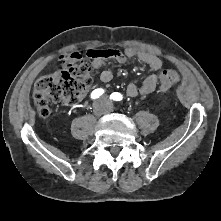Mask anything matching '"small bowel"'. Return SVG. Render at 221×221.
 I'll return each instance as SVG.
<instances>
[{"mask_svg": "<svg viewBox=\"0 0 221 221\" xmlns=\"http://www.w3.org/2000/svg\"><path fill=\"white\" fill-rule=\"evenodd\" d=\"M96 51H100L102 54H92L90 58L92 59L93 68L97 70L103 69L100 73V80L102 82H110L113 78L112 72L107 69L110 60L119 64H124L128 59L137 58L145 65L151 74L144 79L141 86H137L134 82H130L126 88L128 97L134 98L138 95H148L155 91L159 81L158 71L162 66L157 56L134 48H127L123 52L117 49L90 50L89 52L94 53Z\"/></svg>", "mask_w": 221, "mask_h": 221, "instance_id": "1", "label": "small bowel"}]
</instances>
